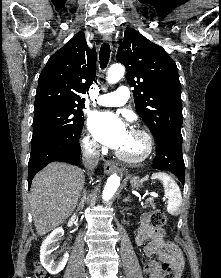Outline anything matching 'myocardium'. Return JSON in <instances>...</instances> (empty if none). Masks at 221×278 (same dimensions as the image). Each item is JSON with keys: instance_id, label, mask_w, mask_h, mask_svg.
<instances>
[{"instance_id": "1", "label": "myocardium", "mask_w": 221, "mask_h": 278, "mask_svg": "<svg viewBox=\"0 0 221 278\" xmlns=\"http://www.w3.org/2000/svg\"><path fill=\"white\" fill-rule=\"evenodd\" d=\"M130 133L139 135L140 137H142L143 141H144V151L143 153L138 156V157H130L127 156L126 154L122 153L121 151H116V156L127 163L130 164H140L145 162L147 159L150 158V156L152 155L153 152V139L150 135L149 132H147L146 130L140 129V128H133Z\"/></svg>"}]
</instances>
